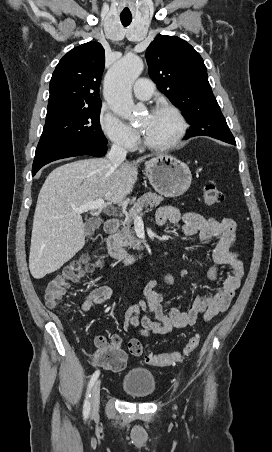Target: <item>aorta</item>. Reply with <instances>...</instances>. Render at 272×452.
<instances>
[{
    "label": "aorta",
    "mask_w": 272,
    "mask_h": 452,
    "mask_svg": "<svg viewBox=\"0 0 272 452\" xmlns=\"http://www.w3.org/2000/svg\"><path fill=\"white\" fill-rule=\"evenodd\" d=\"M144 68L140 57L128 54L115 63L104 79V97L110 109L123 119H133L137 114L131 88Z\"/></svg>",
    "instance_id": "762f6f07"
}]
</instances>
